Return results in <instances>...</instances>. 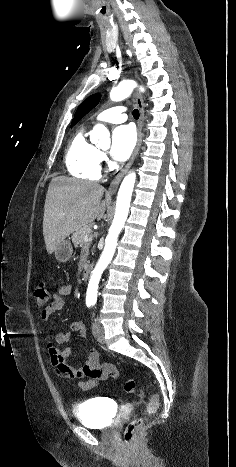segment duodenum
<instances>
[{
	"instance_id": "duodenum-1",
	"label": "duodenum",
	"mask_w": 236,
	"mask_h": 467,
	"mask_svg": "<svg viewBox=\"0 0 236 467\" xmlns=\"http://www.w3.org/2000/svg\"><path fill=\"white\" fill-rule=\"evenodd\" d=\"M92 271V266L90 264L86 265L83 269V272H82V280H87L90 276V273Z\"/></svg>"
}]
</instances>
